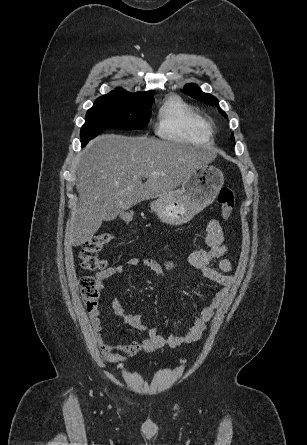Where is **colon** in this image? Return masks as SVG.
Instances as JSON below:
<instances>
[{"label":"colon","instance_id":"5ec220e1","mask_svg":"<svg viewBox=\"0 0 307 445\" xmlns=\"http://www.w3.org/2000/svg\"><path fill=\"white\" fill-rule=\"evenodd\" d=\"M217 201L221 206V215L223 219H227L234 208V195L230 188L223 187L219 191ZM121 219L129 223L132 220V213L125 212L121 215ZM112 239L109 233H101L89 238L82 246L79 258L81 266L85 270L95 271L103 270L106 267L105 262L99 257V252ZM81 293L85 305L89 311L97 308L100 296V287L96 279L92 276L85 275L80 279Z\"/></svg>","mask_w":307,"mask_h":445}]
</instances>
